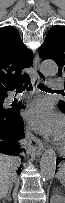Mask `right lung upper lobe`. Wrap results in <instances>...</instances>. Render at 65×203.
<instances>
[{
    "instance_id": "cb5924a9",
    "label": "right lung upper lobe",
    "mask_w": 65,
    "mask_h": 203,
    "mask_svg": "<svg viewBox=\"0 0 65 203\" xmlns=\"http://www.w3.org/2000/svg\"><path fill=\"white\" fill-rule=\"evenodd\" d=\"M32 63L33 53L22 43L18 31L12 26L0 28V94L29 80L21 71Z\"/></svg>"
}]
</instances>
